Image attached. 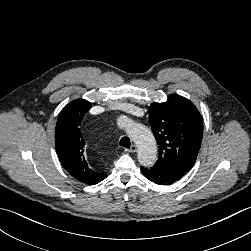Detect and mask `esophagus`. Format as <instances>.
I'll use <instances>...</instances> for the list:
<instances>
[{"label": "esophagus", "mask_w": 251, "mask_h": 251, "mask_svg": "<svg viewBox=\"0 0 251 251\" xmlns=\"http://www.w3.org/2000/svg\"><path fill=\"white\" fill-rule=\"evenodd\" d=\"M126 151L129 153H134L137 151V147H136V145L133 144V145H131V147L129 149H126Z\"/></svg>", "instance_id": "obj_1"}]
</instances>
